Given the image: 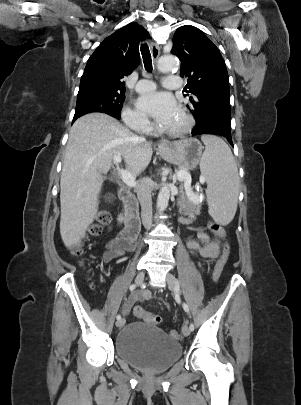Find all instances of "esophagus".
<instances>
[{
	"label": "esophagus",
	"mask_w": 301,
	"mask_h": 405,
	"mask_svg": "<svg viewBox=\"0 0 301 405\" xmlns=\"http://www.w3.org/2000/svg\"><path fill=\"white\" fill-rule=\"evenodd\" d=\"M150 49H151V55L152 58L154 59V61L156 62L160 56V47L159 45H157L156 43H151L150 44ZM159 147L163 148V147H167L169 145V142L166 139H161L159 141Z\"/></svg>",
	"instance_id": "1"
}]
</instances>
